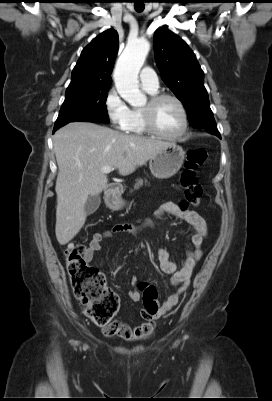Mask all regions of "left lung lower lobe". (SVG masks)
<instances>
[{
    "label": "left lung lower lobe",
    "mask_w": 272,
    "mask_h": 401,
    "mask_svg": "<svg viewBox=\"0 0 272 401\" xmlns=\"http://www.w3.org/2000/svg\"><path fill=\"white\" fill-rule=\"evenodd\" d=\"M208 133L214 134L216 136H218L219 138H221L220 133L217 129V127H213V128H208L206 129Z\"/></svg>",
    "instance_id": "obj_1"
}]
</instances>
